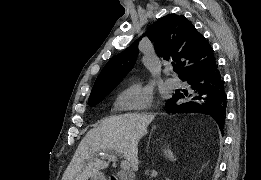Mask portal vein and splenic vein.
<instances>
[{
  "instance_id": "18ae733b",
  "label": "portal vein and splenic vein",
  "mask_w": 261,
  "mask_h": 180,
  "mask_svg": "<svg viewBox=\"0 0 261 180\" xmlns=\"http://www.w3.org/2000/svg\"><path fill=\"white\" fill-rule=\"evenodd\" d=\"M115 154H119V152H115ZM122 164H125V166H123V170H128V166H129L128 162H122Z\"/></svg>"
}]
</instances>
